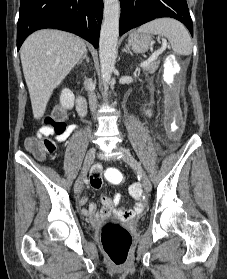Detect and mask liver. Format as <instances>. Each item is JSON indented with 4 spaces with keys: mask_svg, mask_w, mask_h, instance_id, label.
I'll use <instances>...</instances> for the list:
<instances>
[{
    "mask_svg": "<svg viewBox=\"0 0 227 279\" xmlns=\"http://www.w3.org/2000/svg\"><path fill=\"white\" fill-rule=\"evenodd\" d=\"M85 50V42L80 37L53 29L36 31L24 41L20 57L35 119L44 115L53 90Z\"/></svg>",
    "mask_w": 227,
    "mask_h": 279,
    "instance_id": "6515ba94",
    "label": "liver"
}]
</instances>
